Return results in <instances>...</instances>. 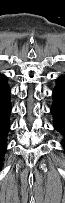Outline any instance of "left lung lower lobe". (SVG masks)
I'll return each mask as SVG.
<instances>
[{"instance_id": "1", "label": "left lung lower lobe", "mask_w": 65, "mask_h": 203, "mask_svg": "<svg viewBox=\"0 0 65 203\" xmlns=\"http://www.w3.org/2000/svg\"><path fill=\"white\" fill-rule=\"evenodd\" d=\"M51 113L54 117V128L64 136L63 148L65 152V75L57 79V86L53 91Z\"/></svg>"}]
</instances>
